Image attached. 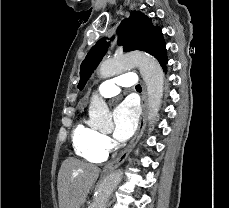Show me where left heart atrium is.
Instances as JSON below:
<instances>
[{
  "instance_id": "39dd6f15",
  "label": "left heart atrium",
  "mask_w": 229,
  "mask_h": 208,
  "mask_svg": "<svg viewBox=\"0 0 229 208\" xmlns=\"http://www.w3.org/2000/svg\"><path fill=\"white\" fill-rule=\"evenodd\" d=\"M113 119L115 139L118 141L127 140L137 125L138 111L136 106L130 100L123 101L115 108Z\"/></svg>"
}]
</instances>
